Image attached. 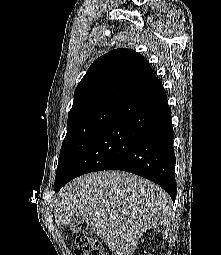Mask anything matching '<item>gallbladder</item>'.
<instances>
[{"instance_id":"obj_1","label":"gallbladder","mask_w":221,"mask_h":255,"mask_svg":"<svg viewBox=\"0 0 221 255\" xmlns=\"http://www.w3.org/2000/svg\"><path fill=\"white\" fill-rule=\"evenodd\" d=\"M84 223V219L81 217H76L70 224V230L74 233L78 232Z\"/></svg>"}]
</instances>
